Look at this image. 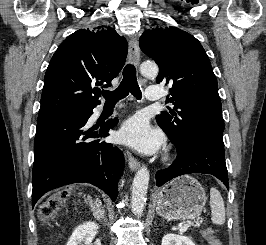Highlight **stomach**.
<instances>
[{
	"label": "stomach",
	"instance_id": "1",
	"mask_svg": "<svg viewBox=\"0 0 266 245\" xmlns=\"http://www.w3.org/2000/svg\"><path fill=\"white\" fill-rule=\"evenodd\" d=\"M156 211L169 221H185L200 215L207 201L206 193L199 181L183 175L164 185L156 195Z\"/></svg>",
	"mask_w": 266,
	"mask_h": 245
}]
</instances>
